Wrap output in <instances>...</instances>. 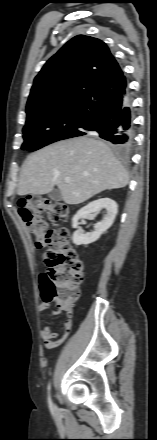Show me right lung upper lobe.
Returning <instances> with one entry per match:
<instances>
[{
    "label": "right lung upper lobe",
    "mask_w": 157,
    "mask_h": 440,
    "mask_svg": "<svg viewBox=\"0 0 157 440\" xmlns=\"http://www.w3.org/2000/svg\"><path fill=\"white\" fill-rule=\"evenodd\" d=\"M127 95L126 78L106 44L78 35L36 76L26 106L27 121L84 125Z\"/></svg>",
    "instance_id": "obj_1"
}]
</instances>
